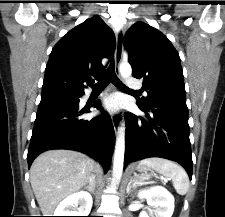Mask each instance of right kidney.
<instances>
[{"label":"right kidney","instance_id":"ca27d5eb","mask_svg":"<svg viewBox=\"0 0 225 217\" xmlns=\"http://www.w3.org/2000/svg\"><path fill=\"white\" fill-rule=\"evenodd\" d=\"M92 203V197L88 192L74 193L58 205L54 216H88Z\"/></svg>","mask_w":225,"mask_h":217}]
</instances>
